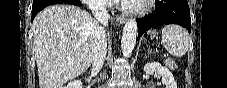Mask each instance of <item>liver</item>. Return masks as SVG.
Wrapping results in <instances>:
<instances>
[{
  "label": "liver",
  "mask_w": 227,
  "mask_h": 88,
  "mask_svg": "<svg viewBox=\"0 0 227 88\" xmlns=\"http://www.w3.org/2000/svg\"><path fill=\"white\" fill-rule=\"evenodd\" d=\"M99 27L75 5H52L38 13L32 28L40 88H62L90 67Z\"/></svg>",
  "instance_id": "obj_1"
}]
</instances>
